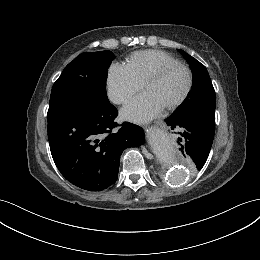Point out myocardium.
Listing matches in <instances>:
<instances>
[{
    "label": "myocardium",
    "mask_w": 260,
    "mask_h": 260,
    "mask_svg": "<svg viewBox=\"0 0 260 260\" xmlns=\"http://www.w3.org/2000/svg\"><path fill=\"white\" fill-rule=\"evenodd\" d=\"M178 69H182L185 71L188 82H187L186 89L184 90L182 95L178 99H176L174 102H172L171 104H169L165 107V109L169 110V111L174 110L178 106H180L187 99V97L189 96V94L192 90L193 73H192V70L190 69V67L183 63H175V64L164 66L161 69H159L158 71H156L155 73H153L152 75H150L143 83V88H145L149 84H153V83L161 81L168 74H170L171 72L178 70Z\"/></svg>",
    "instance_id": "1"
}]
</instances>
